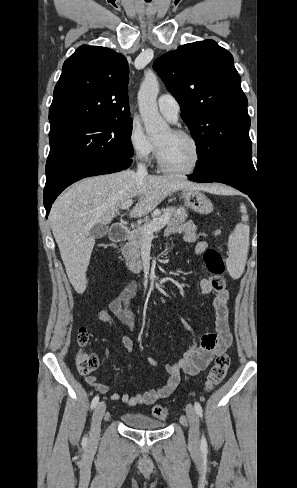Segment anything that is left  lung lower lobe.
Here are the masks:
<instances>
[{"label":"left lung lower lobe","mask_w":297,"mask_h":488,"mask_svg":"<svg viewBox=\"0 0 297 488\" xmlns=\"http://www.w3.org/2000/svg\"><path fill=\"white\" fill-rule=\"evenodd\" d=\"M190 180L196 182H219L230 185L239 191L247 194L250 199L256 203V181L241 173L239 171L230 170V169H221L212 171L205 175H198L193 173L188 176ZM258 192V187H257Z\"/></svg>","instance_id":"obj_1"}]
</instances>
